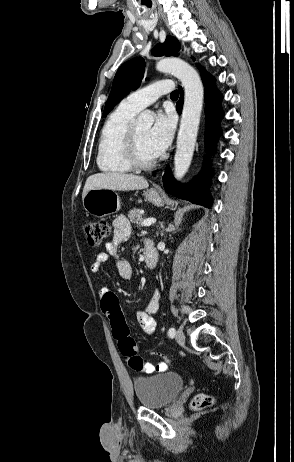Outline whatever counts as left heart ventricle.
<instances>
[{
    "label": "left heart ventricle",
    "instance_id": "b2bd125f",
    "mask_svg": "<svg viewBox=\"0 0 294 462\" xmlns=\"http://www.w3.org/2000/svg\"><path fill=\"white\" fill-rule=\"evenodd\" d=\"M149 130L148 126H134L139 154L143 160H150L156 156L148 143Z\"/></svg>",
    "mask_w": 294,
    "mask_h": 462
}]
</instances>
